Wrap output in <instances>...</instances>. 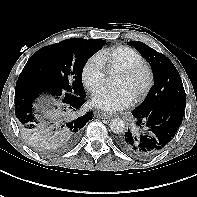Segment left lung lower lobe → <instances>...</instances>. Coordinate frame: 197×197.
Returning a JSON list of instances; mask_svg holds the SVG:
<instances>
[{
  "label": "left lung lower lobe",
  "instance_id": "left-lung-lower-lobe-1",
  "mask_svg": "<svg viewBox=\"0 0 197 197\" xmlns=\"http://www.w3.org/2000/svg\"><path fill=\"white\" fill-rule=\"evenodd\" d=\"M186 97L162 101L150 110L135 108V129L118 138L119 147L135 158H150L162 152L175 137L184 116Z\"/></svg>",
  "mask_w": 197,
  "mask_h": 197
}]
</instances>
